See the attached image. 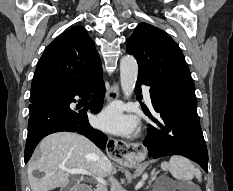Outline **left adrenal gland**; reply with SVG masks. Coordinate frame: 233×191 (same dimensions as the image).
Returning a JSON list of instances; mask_svg holds the SVG:
<instances>
[{"label":"left adrenal gland","instance_id":"a2214340","mask_svg":"<svg viewBox=\"0 0 233 191\" xmlns=\"http://www.w3.org/2000/svg\"><path fill=\"white\" fill-rule=\"evenodd\" d=\"M155 177H156V173H155V169H154L152 172V175H151V182L154 180Z\"/></svg>","mask_w":233,"mask_h":191}]
</instances>
